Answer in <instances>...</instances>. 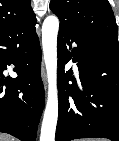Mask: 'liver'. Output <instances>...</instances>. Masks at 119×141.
I'll list each match as a JSON object with an SVG mask.
<instances>
[{"instance_id": "1", "label": "liver", "mask_w": 119, "mask_h": 141, "mask_svg": "<svg viewBox=\"0 0 119 141\" xmlns=\"http://www.w3.org/2000/svg\"><path fill=\"white\" fill-rule=\"evenodd\" d=\"M0 141H14L9 135L0 133Z\"/></svg>"}]
</instances>
